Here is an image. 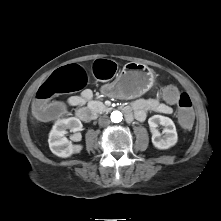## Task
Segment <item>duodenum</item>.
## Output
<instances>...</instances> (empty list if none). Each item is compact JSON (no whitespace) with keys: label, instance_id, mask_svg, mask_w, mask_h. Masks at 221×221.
<instances>
[{"label":"duodenum","instance_id":"410a0bca","mask_svg":"<svg viewBox=\"0 0 221 221\" xmlns=\"http://www.w3.org/2000/svg\"><path fill=\"white\" fill-rule=\"evenodd\" d=\"M121 109L124 112L126 119L129 121L132 120L133 116H132L131 109L128 107H122ZM76 116L80 121L85 122V123H88L92 120V112L90 109L86 107L78 109L76 111Z\"/></svg>","mask_w":221,"mask_h":221}]
</instances>
